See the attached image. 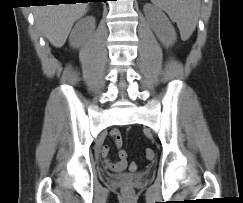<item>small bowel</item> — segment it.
<instances>
[{
    "label": "small bowel",
    "instance_id": "small-bowel-1",
    "mask_svg": "<svg viewBox=\"0 0 243 203\" xmlns=\"http://www.w3.org/2000/svg\"><path fill=\"white\" fill-rule=\"evenodd\" d=\"M111 137L114 139V142L117 147H120L122 145V137L120 132L117 129H114L110 132ZM110 154V146L109 145H103L101 147V156L104 159L105 165L112 171L115 172H121L126 169L127 162L126 157H122L119 152V160L114 162L110 160L109 158ZM137 167L136 163L130 164V169L135 170Z\"/></svg>",
    "mask_w": 243,
    "mask_h": 203
}]
</instances>
